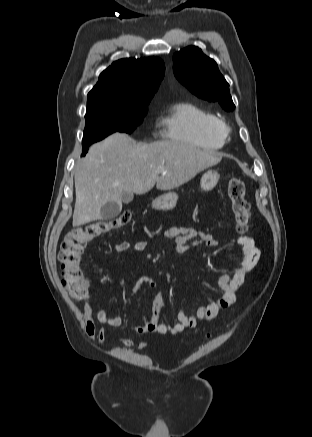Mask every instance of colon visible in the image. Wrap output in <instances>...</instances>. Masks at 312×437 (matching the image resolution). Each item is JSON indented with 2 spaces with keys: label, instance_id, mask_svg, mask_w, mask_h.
I'll list each match as a JSON object with an SVG mask.
<instances>
[{
  "label": "colon",
  "instance_id": "5ec220e1",
  "mask_svg": "<svg viewBox=\"0 0 312 437\" xmlns=\"http://www.w3.org/2000/svg\"><path fill=\"white\" fill-rule=\"evenodd\" d=\"M234 225L238 234H245L250 225V205L246 199L245 183L238 176L231 177L227 183ZM131 219V212L124 211L109 220H100L69 233L60 246L58 260L61 264L63 287L73 301H84L89 296L88 284L81 270L82 253L88 243L101 235L117 230Z\"/></svg>",
  "mask_w": 312,
  "mask_h": 437
}]
</instances>
